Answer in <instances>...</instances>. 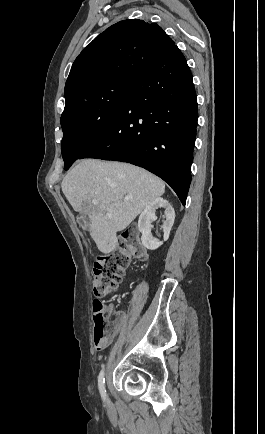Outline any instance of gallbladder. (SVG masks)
<instances>
[{
    "instance_id": "1",
    "label": "gallbladder",
    "mask_w": 265,
    "mask_h": 434,
    "mask_svg": "<svg viewBox=\"0 0 265 434\" xmlns=\"http://www.w3.org/2000/svg\"><path fill=\"white\" fill-rule=\"evenodd\" d=\"M76 220L79 222V225L80 226H83L82 228H83V230H88V225H86V220H85V217L82 215V214H79L77 217H76Z\"/></svg>"
}]
</instances>
